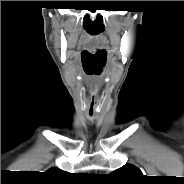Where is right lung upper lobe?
<instances>
[{
  "mask_svg": "<svg viewBox=\"0 0 184 184\" xmlns=\"http://www.w3.org/2000/svg\"><path fill=\"white\" fill-rule=\"evenodd\" d=\"M47 172L50 174H61L62 171L58 168H51Z\"/></svg>",
  "mask_w": 184,
  "mask_h": 184,
  "instance_id": "1",
  "label": "right lung upper lobe"
}]
</instances>
